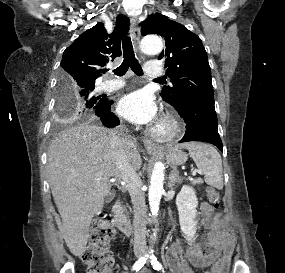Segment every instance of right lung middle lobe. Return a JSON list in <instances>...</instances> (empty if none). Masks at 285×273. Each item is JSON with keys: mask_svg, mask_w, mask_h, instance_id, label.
Returning <instances> with one entry per match:
<instances>
[{"mask_svg": "<svg viewBox=\"0 0 285 273\" xmlns=\"http://www.w3.org/2000/svg\"><path fill=\"white\" fill-rule=\"evenodd\" d=\"M94 88L95 85H73L61 75L57 91L59 117L74 121L96 115L95 110L104 97L95 95Z\"/></svg>", "mask_w": 285, "mask_h": 273, "instance_id": "right-lung-middle-lobe-1", "label": "right lung middle lobe"}]
</instances>
